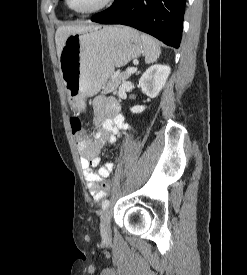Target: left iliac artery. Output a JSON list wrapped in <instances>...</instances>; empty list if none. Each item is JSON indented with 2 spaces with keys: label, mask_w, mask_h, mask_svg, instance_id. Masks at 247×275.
<instances>
[{
  "label": "left iliac artery",
  "mask_w": 247,
  "mask_h": 275,
  "mask_svg": "<svg viewBox=\"0 0 247 275\" xmlns=\"http://www.w3.org/2000/svg\"><path fill=\"white\" fill-rule=\"evenodd\" d=\"M109 205H110V201H109L108 199L104 200V201L102 202V209H103V210L108 209Z\"/></svg>",
  "instance_id": "obj_1"
}]
</instances>
